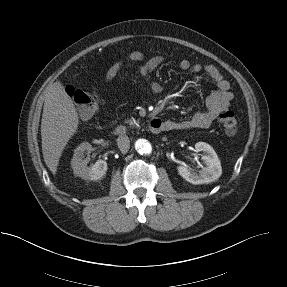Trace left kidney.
Segmentation results:
<instances>
[{
  "mask_svg": "<svg viewBox=\"0 0 287 287\" xmlns=\"http://www.w3.org/2000/svg\"><path fill=\"white\" fill-rule=\"evenodd\" d=\"M195 151H203L202 160L205 167L200 171L199 175L192 172L187 166H178L179 175L187 182L194 185L210 184L218 180L222 174V167L220 160L214 149L205 142H197L195 144Z\"/></svg>",
  "mask_w": 287,
  "mask_h": 287,
  "instance_id": "1",
  "label": "left kidney"
}]
</instances>
